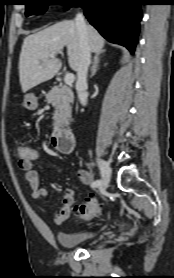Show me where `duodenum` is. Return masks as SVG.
Returning <instances> with one entry per match:
<instances>
[{
  "instance_id": "duodenum-1",
  "label": "duodenum",
  "mask_w": 174,
  "mask_h": 278,
  "mask_svg": "<svg viewBox=\"0 0 174 278\" xmlns=\"http://www.w3.org/2000/svg\"><path fill=\"white\" fill-rule=\"evenodd\" d=\"M51 142L58 151L69 153L74 146V135L70 129L59 128L53 132Z\"/></svg>"
}]
</instances>
